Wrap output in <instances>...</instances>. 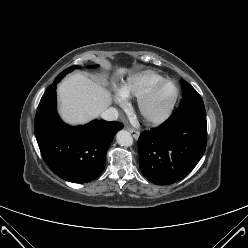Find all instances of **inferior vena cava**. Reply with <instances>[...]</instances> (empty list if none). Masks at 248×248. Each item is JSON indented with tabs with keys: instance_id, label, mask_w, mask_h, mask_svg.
<instances>
[{
	"instance_id": "602c4592",
	"label": "inferior vena cava",
	"mask_w": 248,
	"mask_h": 248,
	"mask_svg": "<svg viewBox=\"0 0 248 248\" xmlns=\"http://www.w3.org/2000/svg\"><path fill=\"white\" fill-rule=\"evenodd\" d=\"M119 116V112L116 108L110 107L104 110L101 113V118L106 120V121H114L117 120Z\"/></svg>"
}]
</instances>
